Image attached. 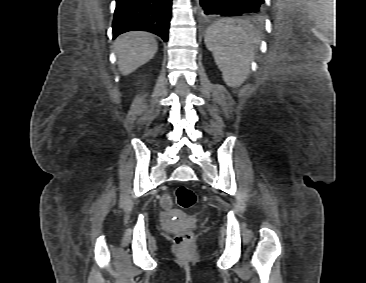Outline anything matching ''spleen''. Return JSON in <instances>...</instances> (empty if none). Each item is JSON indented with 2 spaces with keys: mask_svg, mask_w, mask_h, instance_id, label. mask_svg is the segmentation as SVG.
Here are the masks:
<instances>
[{
  "mask_svg": "<svg viewBox=\"0 0 366 283\" xmlns=\"http://www.w3.org/2000/svg\"><path fill=\"white\" fill-rule=\"evenodd\" d=\"M255 37L254 26L244 20L223 19L208 27L206 47L228 86L239 87L248 77L255 55Z\"/></svg>",
  "mask_w": 366,
  "mask_h": 283,
  "instance_id": "obj_1",
  "label": "spleen"
}]
</instances>
